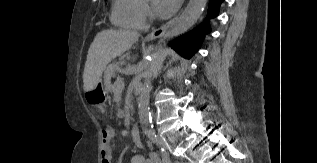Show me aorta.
<instances>
[{"label":"aorta","instance_id":"1","mask_svg":"<svg viewBox=\"0 0 317 163\" xmlns=\"http://www.w3.org/2000/svg\"><path fill=\"white\" fill-rule=\"evenodd\" d=\"M207 0H190L184 12L177 18H175L169 25V27L162 33L161 41L170 40L180 34L186 32L191 28L206 7ZM158 52L151 54L142 76L144 78V84L141 94L138 99V113L140 123L149 128L151 125V114L149 110V100L151 92V81L154 78L157 70Z\"/></svg>","mask_w":317,"mask_h":163}]
</instances>
